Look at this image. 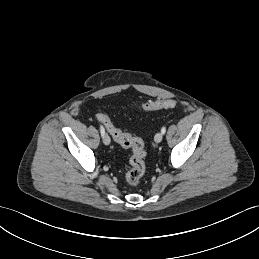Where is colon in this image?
I'll use <instances>...</instances> for the list:
<instances>
[{
	"mask_svg": "<svg viewBox=\"0 0 259 259\" xmlns=\"http://www.w3.org/2000/svg\"><path fill=\"white\" fill-rule=\"evenodd\" d=\"M175 106L176 101L173 99H159L141 105L140 109L144 111H154L163 108H173ZM99 119L108 133L118 144L131 149L132 155L130 157V169L126 173V181L132 186L138 185L146 170V153L143 141L138 137L131 136L116 128L105 114H100Z\"/></svg>",
	"mask_w": 259,
	"mask_h": 259,
	"instance_id": "colon-1",
	"label": "colon"
}]
</instances>
